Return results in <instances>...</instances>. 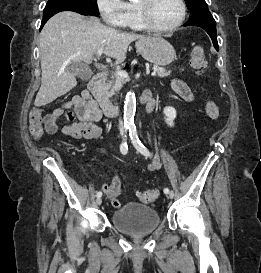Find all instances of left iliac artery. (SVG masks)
I'll return each mask as SVG.
<instances>
[{
	"instance_id": "left-iliac-artery-1",
	"label": "left iliac artery",
	"mask_w": 261,
	"mask_h": 273,
	"mask_svg": "<svg viewBox=\"0 0 261 273\" xmlns=\"http://www.w3.org/2000/svg\"><path fill=\"white\" fill-rule=\"evenodd\" d=\"M130 137L132 140V143L134 145V147L144 156L146 157H150V152L148 151V149L141 143V141L139 140V137L137 135V131L136 128H132L130 129ZM164 193L167 194L169 193V189L168 188H164Z\"/></svg>"
}]
</instances>
